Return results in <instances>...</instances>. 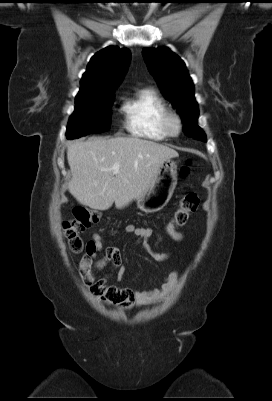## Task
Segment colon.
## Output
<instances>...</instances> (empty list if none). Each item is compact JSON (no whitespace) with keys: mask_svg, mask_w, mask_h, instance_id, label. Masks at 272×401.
Instances as JSON below:
<instances>
[{"mask_svg":"<svg viewBox=\"0 0 272 401\" xmlns=\"http://www.w3.org/2000/svg\"><path fill=\"white\" fill-rule=\"evenodd\" d=\"M190 173L189 163L183 165L180 169L182 178H186ZM199 197L196 194L190 193L183 197L177 209L174 212L172 226H182L186 223L189 216L194 213L199 206ZM74 218L64 223V235L67 240L69 249L79 254L84 247V241L81 238V233L98 224L101 220L100 212L90 210L82 206L74 208ZM108 298L113 300L110 296L105 294Z\"/></svg>","mask_w":272,"mask_h":401,"instance_id":"1","label":"colon"}]
</instances>
